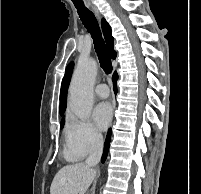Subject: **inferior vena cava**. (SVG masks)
<instances>
[{
    "label": "inferior vena cava",
    "mask_w": 201,
    "mask_h": 194,
    "mask_svg": "<svg viewBox=\"0 0 201 194\" xmlns=\"http://www.w3.org/2000/svg\"><path fill=\"white\" fill-rule=\"evenodd\" d=\"M103 143V137L101 135L95 137L92 143L91 153L85 161L87 166L95 167L99 163L103 152Z\"/></svg>",
    "instance_id": "1"
}]
</instances>
